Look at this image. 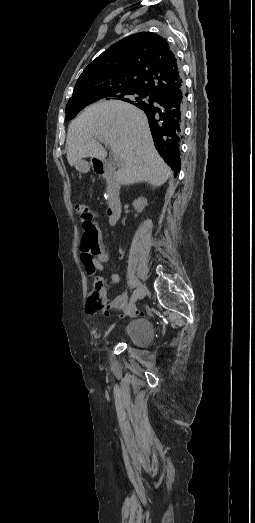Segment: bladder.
I'll list each match as a JSON object with an SVG mask.
<instances>
[{
  "instance_id": "31cf9c89",
  "label": "bladder",
  "mask_w": 255,
  "mask_h": 523,
  "mask_svg": "<svg viewBox=\"0 0 255 523\" xmlns=\"http://www.w3.org/2000/svg\"><path fill=\"white\" fill-rule=\"evenodd\" d=\"M125 338L138 347L145 346L154 337L152 332V323L149 320L139 319L129 324Z\"/></svg>"
}]
</instances>
